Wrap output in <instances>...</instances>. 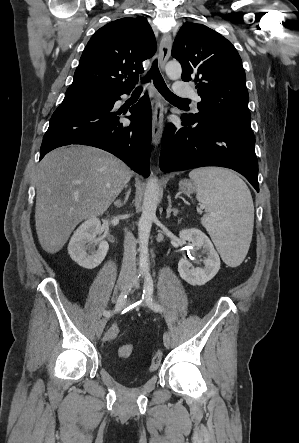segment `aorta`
I'll use <instances>...</instances> for the list:
<instances>
[{
  "label": "aorta",
  "mask_w": 299,
  "mask_h": 443,
  "mask_svg": "<svg viewBox=\"0 0 299 443\" xmlns=\"http://www.w3.org/2000/svg\"><path fill=\"white\" fill-rule=\"evenodd\" d=\"M167 76L171 80L181 77L182 68L179 62L170 61L165 66ZM159 201V183L157 178L148 180L142 204V214L138 223L139 242V269L143 273L149 272L148 242L152 223L156 218V209Z\"/></svg>",
  "instance_id": "762f6f07"
}]
</instances>
